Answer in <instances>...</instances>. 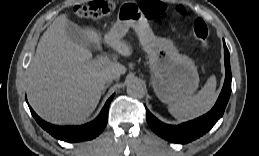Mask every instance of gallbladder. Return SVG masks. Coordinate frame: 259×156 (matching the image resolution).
<instances>
[{
    "mask_svg": "<svg viewBox=\"0 0 259 156\" xmlns=\"http://www.w3.org/2000/svg\"><path fill=\"white\" fill-rule=\"evenodd\" d=\"M66 35L72 42L80 46H83L87 49L94 48V43L87 39L83 29L72 22L66 25Z\"/></svg>",
    "mask_w": 259,
    "mask_h": 156,
    "instance_id": "obj_1",
    "label": "gallbladder"
}]
</instances>
